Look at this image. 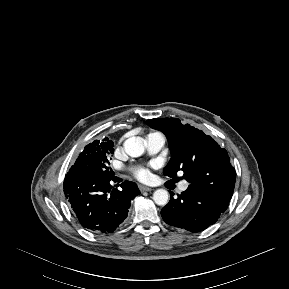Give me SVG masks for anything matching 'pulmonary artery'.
I'll return each instance as SVG.
<instances>
[{"instance_id": "1", "label": "pulmonary artery", "mask_w": 289, "mask_h": 289, "mask_svg": "<svg viewBox=\"0 0 289 289\" xmlns=\"http://www.w3.org/2000/svg\"><path fill=\"white\" fill-rule=\"evenodd\" d=\"M166 143V138L162 133L154 132L150 133L146 137V148L149 154L154 155L161 151ZM188 183L182 182L179 185V191L183 192L187 190Z\"/></svg>"}]
</instances>
